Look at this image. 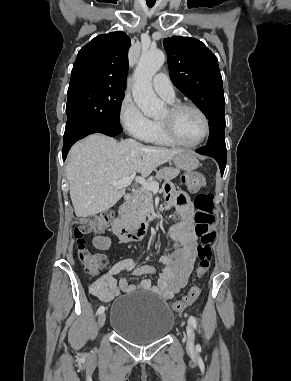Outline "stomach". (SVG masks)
Returning <instances> with one entry per match:
<instances>
[{
  "instance_id": "1",
  "label": "stomach",
  "mask_w": 291,
  "mask_h": 381,
  "mask_svg": "<svg viewBox=\"0 0 291 381\" xmlns=\"http://www.w3.org/2000/svg\"><path fill=\"white\" fill-rule=\"evenodd\" d=\"M173 161L178 170H184L187 172L194 171L199 165L197 158L193 155V153L188 151L177 154Z\"/></svg>"
}]
</instances>
